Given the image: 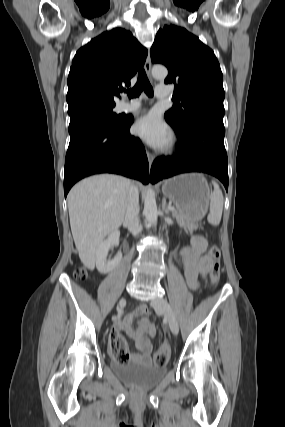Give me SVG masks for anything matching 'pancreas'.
Masks as SVG:
<instances>
[{
    "mask_svg": "<svg viewBox=\"0 0 285 427\" xmlns=\"http://www.w3.org/2000/svg\"><path fill=\"white\" fill-rule=\"evenodd\" d=\"M173 217L178 221L179 224H184L189 231H194L197 229L196 224L190 222L187 217L179 210L172 211Z\"/></svg>",
    "mask_w": 285,
    "mask_h": 427,
    "instance_id": "obj_1",
    "label": "pancreas"
}]
</instances>
